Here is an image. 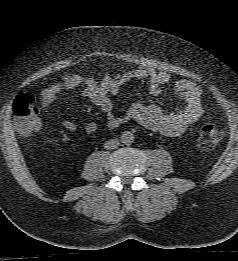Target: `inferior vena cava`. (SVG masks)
I'll return each instance as SVG.
<instances>
[{
  "mask_svg": "<svg viewBox=\"0 0 238 261\" xmlns=\"http://www.w3.org/2000/svg\"><path fill=\"white\" fill-rule=\"evenodd\" d=\"M119 146V141L117 139H110L107 140L104 144V148L106 150H113Z\"/></svg>",
  "mask_w": 238,
  "mask_h": 261,
  "instance_id": "1",
  "label": "inferior vena cava"
}]
</instances>
